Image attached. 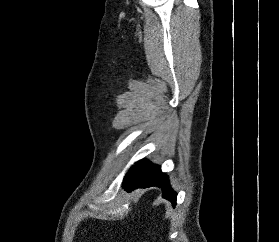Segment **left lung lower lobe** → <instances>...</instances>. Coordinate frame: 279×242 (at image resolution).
I'll use <instances>...</instances> for the list:
<instances>
[{
    "label": "left lung lower lobe",
    "instance_id": "left-lung-lower-lobe-1",
    "mask_svg": "<svg viewBox=\"0 0 279 242\" xmlns=\"http://www.w3.org/2000/svg\"><path fill=\"white\" fill-rule=\"evenodd\" d=\"M123 186L132 191L137 188L151 186L160 187L163 191V198L176 205L177 194L169 185L168 177L161 172L160 166L151 164L148 160H141L136 163L126 174Z\"/></svg>",
    "mask_w": 279,
    "mask_h": 242
}]
</instances>
